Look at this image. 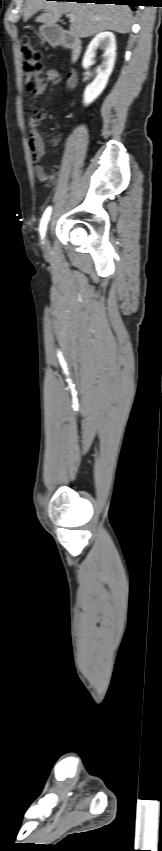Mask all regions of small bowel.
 <instances>
[{
    "label": "small bowel",
    "instance_id": "obj_1",
    "mask_svg": "<svg viewBox=\"0 0 162 851\" xmlns=\"http://www.w3.org/2000/svg\"><path fill=\"white\" fill-rule=\"evenodd\" d=\"M58 73L56 70L51 69L46 74L45 80H40L34 90V102L36 103L38 98L45 92L47 88L48 82H57L58 81ZM78 71L76 69H71L65 80V87L69 93H74L76 91V85L78 83ZM45 117V114L41 110H35L28 118V136H29V147L31 150V158L34 163V172L39 180L45 182L47 184H53L58 180L59 177V169L55 167L51 173L47 172L44 166L41 164V160L45 154V145L44 141L38 131L39 122ZM60 141L59 136H53L50 139V144L52 146H56Z\"/></svg>",
    "mask_w": 162,
    "mask_h": 851
}]
</instances>
